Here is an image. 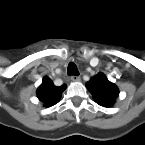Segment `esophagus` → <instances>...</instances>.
<instances>
[{
  "mask_svg": "<svg viewBox=\"0 0 145 145\" xmlns=\"http://www.w3.org/2000/svg\"><path fill=\"white\" fill-rule=\"evenodd\" d=\"M71 80H72L73 82H79V81L81 80V78H80L79 76L73 75V76H71Z\"/></svg>",
  "mask_w": 145,
  "mask_h": 145,
  "instance_id": "esophagus-1",
  "label": "esophagus"
}]
</instances>
